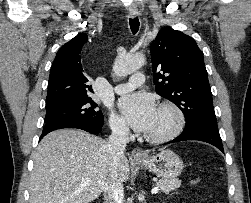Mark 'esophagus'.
Returning a JSON list of instances; mask_svg holds the SVG:
<instances>
[{
	"label": "esophagus",
	"mask_w": 251,
	"mask_h": 203,
	"mask_svg": "<svg viewBox=\"0 0 251 203\" xmlns=\"http://www.w3.org/2000/svg\"><path fill=\"white\" fill-rule=\"evenodd\" d=\"M139 12L137 9H130L129 10V15L130 17L134 18L136 16H138ZM131 157L133 159H136V160H141V159H144L145 158V154L142 152L141 149L139 148H135L133 149L132 153H131Z\"/></svg>",
	"instance_id": "34e87169"
}]
</instances>
